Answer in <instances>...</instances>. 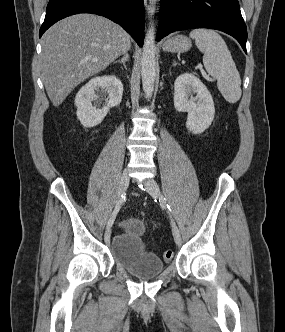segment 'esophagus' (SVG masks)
Masks as SVG:
<instances>
[{
    "label": "esophagus",
    "instance_id": "obj_1",
    "mask_svg": "<svg viewBox=\"0 0 285 332\" xmlns=\"http://www.w3.org/2000/svg\"><path fill=\"white\" fill-rule=\"evenodd\" d=\"M155 1L156 0H144V5L149 16L155 13Z\"/></svg>",
    "mask_w": 285,
    "mask_h": 332
}]
</instances>
